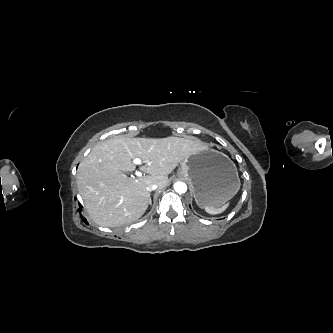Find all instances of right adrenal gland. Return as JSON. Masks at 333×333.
<instances>
[{
  "label": "right adrenal gland",
  "instance_id": "obj_1",
  "mask_svg": "<svg viewBox=\"0 0 333 333\" xmlns=\"http://www.w3.org/2000/svg\"><path fill=\"white\" fill-rule=\"evenodd\" d=\"M149 204H150V205L152 204L151 197L149 198Z\"/></svg>",
  "mask_w": 333,
  "mask_h": 333
}]
</instances>
